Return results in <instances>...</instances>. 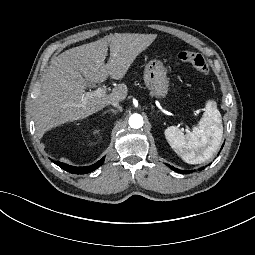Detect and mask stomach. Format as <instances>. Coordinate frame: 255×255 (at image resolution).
Segmentation results:
<instances>
[{"label": "stomach", "instance_id": "1", "mask_svg": "<svg viewBox=\"0 0 255 255\" xmlns=\"http://www.w3.org/2000/svg\"><path fill=\"white\" fill-rule=\"evenodd\" d=\"M144 82L150 94L157 98H164L168 92V78L165 68L160 65L154 68H145Z\"/></svg>", "mask_w": 255, "mask_h": 255}]
</instances>
